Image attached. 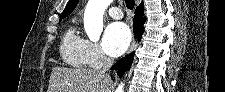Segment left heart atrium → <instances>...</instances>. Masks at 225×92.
<instances>
[{
    "label": "left heart atrium",
    "mask_w": 225,
    "mask_h": 92,
    "mask_svg": "<svg viewBox=\"0 0 225 92\" xmlns=\"http://www.w3.org/2000/svg\"><path fill=\"white\" fill-rule=\"evenodd\" d=\"M131 41V31L122 22H114L107 26L103 36V48L107 55L117 57L122 55Z\"/></svg>",
    "instance_id": "39dd6f15"
}]
</instances>
